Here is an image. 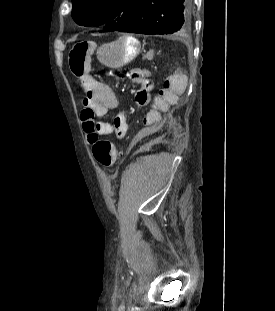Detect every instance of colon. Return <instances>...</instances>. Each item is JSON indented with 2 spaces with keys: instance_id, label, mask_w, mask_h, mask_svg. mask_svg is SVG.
<instances>
[{
  "instance_id": "5ec220e1",
  "label": "colon",
  "mask_w": 275,
  "mask_h": 311,
  "mask_svg": "<svg viewBox=\"0 0 275 311\" xmlns=\"http://www.w3.org/2000/svg\"><path fill=\"white\" fill-rule=\"evenodd\" d=\"M93 42H77L69 53V66L75 77L83 79L89 69V59L93 51ZM92 153L96 162L103 167L114 165L120 154L115 149L113 143L107 138L92 136Z\"/></svg>"
}]
</instances>
